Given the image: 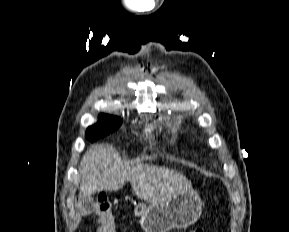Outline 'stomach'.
<instances>
[{
    "instance_id": "1",
    "label": "stomach",
    "mask_w": 289,
    "mask_h": 232,
    "mask_svg": "<svg viewBox=\"0 0 289 232\" xmlns=\"http://www.w3.org/2000/svg\"><path fill=\"white\" fill-rule=\"evenodd\" d=\"M202 212L198 193L189 190L157 204L139 203L134 213L140 217L144 232H168L171 229H185L194 224Z\"/></svg>"
}]
</instances>
